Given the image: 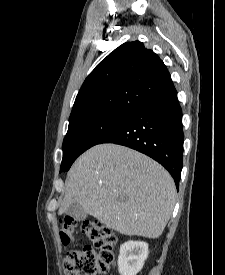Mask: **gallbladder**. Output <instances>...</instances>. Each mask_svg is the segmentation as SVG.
<instances>
[{
	"mask_svg": "<svg viewBox=\"0 0 225 275\" xmlns=\"http://www.w3.org/2000/svg\"><path fill=\"white\" fill-rule=\"evenodd\" d=\"M65 214L76 221H83L87 217V213L78 202L72 203L65 211Z\"/></svg>",
	"mask_w": 225,
	"mask_h": 275,
	"instance_id": "gallbladder-1",
	"label": "gallbladder"
}]
</instances>
